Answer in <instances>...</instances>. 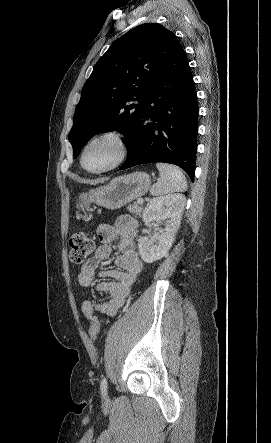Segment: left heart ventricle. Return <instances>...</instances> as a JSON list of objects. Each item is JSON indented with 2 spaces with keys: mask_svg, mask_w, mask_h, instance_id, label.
Here are the masks:
<instances>
[{
  "mask_svg": "<svg viewBox=\"0 0 271 443\" xmlns=\"http://www.w3.org/2000/svg\"><path fill=\"white\" fill-rule=\"evenodd\" d=\"M117 142L105 137L87 146L83 155V165L88 170H99L110 165L118 156Z\"/></svg>",
  "mask_w": 271,
  "mask_h": 443,
  "instance_id": "b2bd125f",
  "label": "left heart ventricle"
}]
</instances>
